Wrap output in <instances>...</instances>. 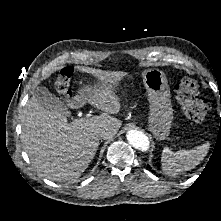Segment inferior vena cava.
<instances>
[{
  "label": "inferior vena cava",
  "mask_w": 221,
  "mask_h": 221,
  "mask_svg": "<svg viewBox=\"0 0 221 221\" xmlns=\"http://www.w3.org/2000/svg\"><path fill=\"white\" fill-rule=\"evenodd\" d=\"M100 136H101L102 138H106V137H108V133L105 132V131H102V132L100 133Z\"/></svg>",
  "instance_id": "1"
}]
</instances>
